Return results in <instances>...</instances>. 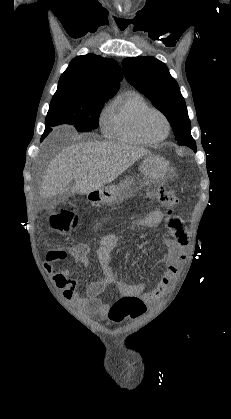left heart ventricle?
<instances>
[{
  "instance_id": "b2bd125f",
  "label": "left heart ventricle",
  "mask_w": 231,
  "mask_h": 419,
  "mask_svg": "<svg viewBox=\"0 0 231 419\" xmlns=\"http://www.w3.org/2000/svg\"><path fill=\"white\" fill-rule=\"evenodd\" d=\"M143 127L145 133L152 139H158L166 132L165 121L156 112H151L146 116Z\"/></svg>"
}]
</instances>
